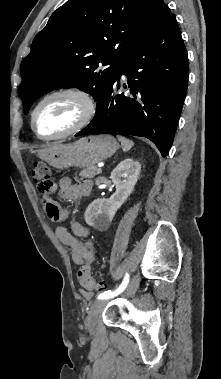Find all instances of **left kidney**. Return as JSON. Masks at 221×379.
<instances>
[{"label": "left kidney", "instance_id": "1", "mask_svg": "<svg viewBox=\"0 0 221 379\" xmlns=\"http://www.w3.org/2000/svg\"><path fill=\"white\" fill-rule=\"evenodd\" d=\"M140 170V163L131 158L123 160L116 166L111 172L116 191L108 200L97 199L87 207L84 216L88 225L99 228L111 223L117 210L133 191Z\"/></svg>", "mask_w": 221, "mask_h": 379}]
</instances>
